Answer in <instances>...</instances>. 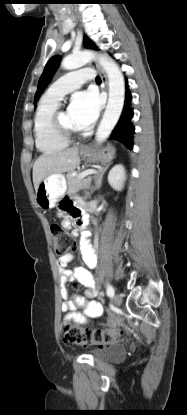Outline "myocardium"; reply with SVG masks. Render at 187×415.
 <instances>
[{
	"instance_id": "f54148a6",
	"label": "myocardium",
	"mask_w": 187,
	"mask_h": 415,
	"mask_svg": "<svg viewBox=\"0 0 187 415\" xmlns=\"http://www.w3.org/2000/svg\"><path fill=\"white\" fill-rule=\"evenodd\" d=\"M62 110H56L53 114L52 124L55 132L67 141H72L80 135L79 130H72L65 127L60 120V113Z\"/></svg>"
}]
</instances>
